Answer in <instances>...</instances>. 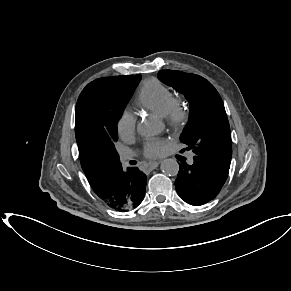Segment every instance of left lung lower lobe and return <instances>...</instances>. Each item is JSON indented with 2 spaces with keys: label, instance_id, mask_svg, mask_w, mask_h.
<instances>
[{
  "label": "left lung lower lobe",
  "instance_id": "0a47b994",
  "mask_svg": "<svg viewBox=\"0 0 291 291\" xmlns=\"http://www.w3.org/2000/svg\"><path fill=\"white\" fill-rule=\"evenodd\" d=\"M228 173L194 158V163L180 165L175 187L180 198L194 206L206 204L220 192Z\"/></svg>",
  "mask_w": 291,
  "mask_h": 291
}]
</instances>
